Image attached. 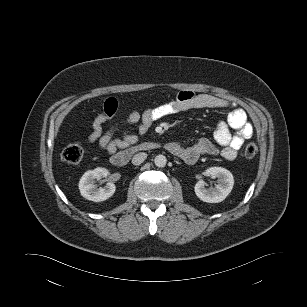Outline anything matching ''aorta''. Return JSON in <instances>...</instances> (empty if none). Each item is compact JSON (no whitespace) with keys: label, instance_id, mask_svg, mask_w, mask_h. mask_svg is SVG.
Wrapping results in <instances>:
<instances>
[{"label":"aorta","instance_id":"obj_1","mask_svg":"<svg viewBox=\"0 0 307 307\" xmlns=\"http://www.w3.org/2000/svg\"><path fill=\"white\" fill-rule=\"evenodd\" d=\"M154 163L157 167H165L167 159L164 155H157L154 159Z\"/></svg>","mask_w":307,"mask_h":307}]
</instances>
